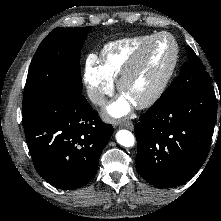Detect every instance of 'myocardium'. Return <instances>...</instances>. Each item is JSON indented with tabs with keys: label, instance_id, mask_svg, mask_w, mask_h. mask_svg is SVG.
I'll list each match as a JSON object with an SVG mask.
<instances>
[{
	"label": "myocardium",
	"instance_id": "obj_1",
	"mask_svg": "<svg viewBox=\"0 0 221 221\" xmlns=\"http://www.w3.org/2000/svg\"><path fill=\"white\" fill-rule=\"evenodd\" d=\"M163 37L169 38L172 42V46H173L172 59L170 61L168 69L165 72L163 78L161 79L157 87L153 90V92L142 101L134 104L135 107L138 109H146V108L151 107L161 98V96L166 91L169 85V82L175 72L177 62H178V57H179V47L175 38L170 33H167V32H160V33L153 35L147 42H145L141 46V48L137 51V53L135 54L133 59L130 61L126 69L122 72V74L118 78L117 87H118L119 92L123 94L125 86L139 73V71L143 67L147 52L150 49V47L157 40Z\"/></svg>",
	"mask_w": 221,
	"mask_h": 221
}]
</instances>
